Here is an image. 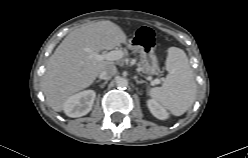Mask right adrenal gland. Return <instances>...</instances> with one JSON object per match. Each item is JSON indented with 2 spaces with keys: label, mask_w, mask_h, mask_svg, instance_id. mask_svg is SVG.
Wrapping results in <instances>:
<instances>
[{
  "label": "right adrenal gland",
  "mask_w": 248,
  "mask_h": 158,
  "mask_svg": "<svg viewBox=\"0 0 248 158\" xmlns=\"http://www.w3.org/2000/svg\"><path fill=\"white\" fill-rule=\"evenodd\" d=\"M96 83H100V80H97Z\"/></svg>",
  "instance_id": "2a0ac1e0"
}]
</instances>
